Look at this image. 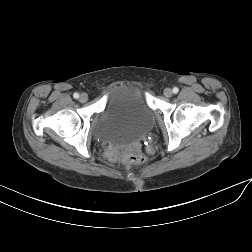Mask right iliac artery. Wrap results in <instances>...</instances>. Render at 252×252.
<instances>
[{"label":"right iliac artery","instance_id":"82829eb1","mask_svg":"<svg viewBox=\"0 0 252 252\" xmlns=\"http://www.w3.org/2000/svg\"><path fill=\"white\" fill-rule=\"evenodd\" d=\"M73 97H74L75 99H78V98H79V94H78V93H74V94H73Z\"/></svg>","mask_w":252,"mask_h":252}]
</instances>
